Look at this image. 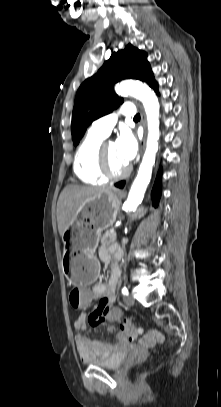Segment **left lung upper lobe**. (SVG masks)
Instances as JSON below:
<instances>
[{"instance_id":"obj_1","label":"left lung upper lobe","mask_w":221,"mask_h":407,"mask_svg":"<svg viewBox=\"0 0 221 407\" xmlns=\"http://www.w3.org/2000/svg\"><path fill=\"white\" fill-rule=\"evenodd\" d=\"M146 57L145 52L129 44L124 50L113 53L96 74L81 84L75 97L71 123L75 146L94 120L112 112L123 102L113 91L116 82L132 78L144 81L150 87L156 84Z\"/></svg>"}]
</instances>
